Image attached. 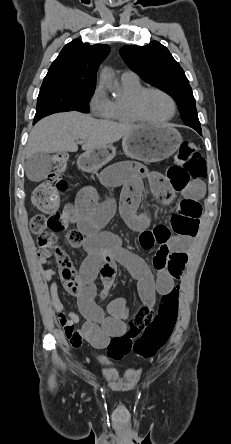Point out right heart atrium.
Instances as JSON below:
<instances>
[{
  "label": "right heart atrium",
  "instance_id": "right-heart-atrium-1",
  "mask_svg": "<svg viewBox=\"0 0 231 444\" xmlns=\"http://www.w3.org/2000/svg\"><path fill=\"white\" fill-rule=\"evenodd\" d=\"M89 105L95 116L106 117L110 107V100L102 85H98L94 89L90 97Z\"/></svg>",
  "mask_w": 231,
  "mask_h": 444
}]
</instances>
